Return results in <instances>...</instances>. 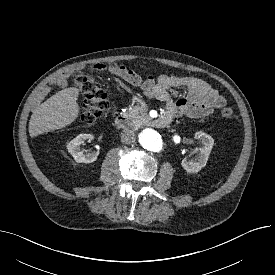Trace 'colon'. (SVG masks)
<instances>
[{
	"instance_id": "1",
	"label": "colon",
	"mask_w": 275,
	"mask_h": 275,
	"mask_svg": "<svg viewBox=\"0 0 275 275\" xmlns=\"http://www.w3.org/2000/svg\"><path fill=\"white\" fill-rule=\"evenodd\" d=\"M105 66L112 70H119L121 68L114 64H105ZM74 83L81 89L84 95L80 120L84 124H92L109 108L107 95L91 76L76 73L74 75ZM233 115L234 112L230 106H226L220 111V116L224 119H231Z\"/></svg>"
}]
</instances>
